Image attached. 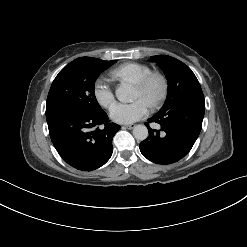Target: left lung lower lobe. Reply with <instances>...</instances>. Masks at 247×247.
<instances>
[{
	"label": "left lung lower lobe",
	"mask_w": 247,
	"mask_h": 247,
	"mask_svg": "<svg viewBox=\"0 0 247 247\" xmlns=\"http://www.w3.org/2000/svg\"><path fill=\"white\" fill-rule=\"evenodd\" d=\"M205 106L185 105L164 114H156L145 123L149 136L139 145L141 153L156 164H171L183 158L198 138ZM160 125L151 129L149 123Z\"/></svg>",
	"instance_id": "obj_1"
}]
</instances>
